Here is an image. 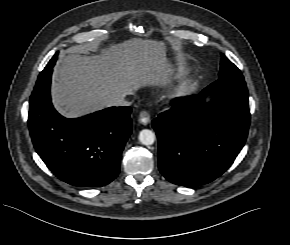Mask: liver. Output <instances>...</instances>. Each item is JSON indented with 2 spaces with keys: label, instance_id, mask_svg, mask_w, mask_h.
Returning a JSON list of instances; mask_svg holds the SVG:
<instances>
[{
  "label": "liver",
  "instance_id": "1",
  "mask_svg": "<svg viewBox=\"0 0 290 245\" xmlns=\"http://www.w3.org/2000/svg\"><path fill=\"white\" fill-rule=\"evenodd\" d=\"M162 69L159 46L139 38L110 44L97 56L69 54L54 68L53 104L65 117H80L111 106L117 96L158 85Z\"/></svg>",
  "mask_w": 290,
  "mask_h": 245
}]
</instances>
